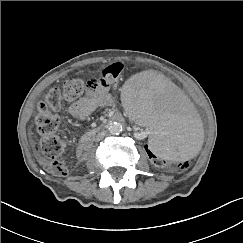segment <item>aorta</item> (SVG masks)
Listing matches in <instances>:
<instances>
[{"label":"aorta","instance_id":"1","mask_svg":"<svg viewBox=\"0 0 243 243\" xmlns=\"http://www.w3.org/2000/svg\"><path fill=\"white\" fill-rule=\"evenodd\" d=\"M107 130H108L109 133L117 135V134L122 132L123 126L120 122L110 121L108 126H107Z\"/></svg>","mask_w":243,"mask_h":243}]
</instances>
